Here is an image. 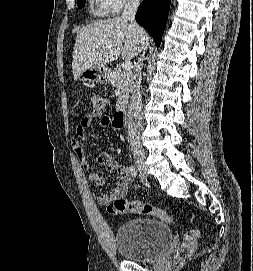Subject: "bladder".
Returning <instances> with one entry per match:
<instances>
[{"label":"bladder","instance_id":"bladder-1","mask_svg":"<svg viewBox=\"0 0 253 271\" xmlns=\"http://www.w3.org/2000/svg\"><path fill=\"white\" fill-rule=\"evenodd\" d=\"M172 239L170 227L163 221L134 218L121 224L115 243L125 260L148 262L161 256Z\"/></svg>","mask_w":253,"mask_h":271}]
</instances>
